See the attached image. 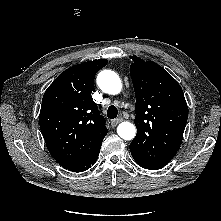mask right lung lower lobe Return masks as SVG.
<instances>
[{"label": "right lung lower lobe", "instance_id": "right-lung-lower-lobe-1", "mask_svg": "<svg viewBox=\"0 0 221 221\" xmlns=\"http://www.w3.org/2000/svg\"><path fill=\"white\" fill-rule=\"evenodd\" d=\"M101 144L102 141L94 149L85 154L78 162L74 163L66 169L73 172H82L89 169L91 165L95 163L99 156Z\"/></svg>", "mask_w": 221, "mask_h": 221}]
</instances>
